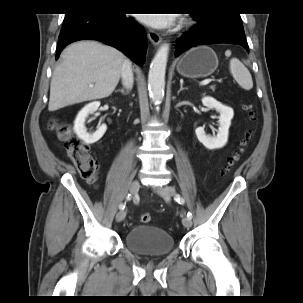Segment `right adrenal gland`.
<instances>
[{"label":"right adrenal gland","mask_w":303,"mask_h":303,"mask_svg":"<svg viewBox=\"0 0 303 303\" xmlns=\"http://www.w3.org/2000/svg\"><path fill=\"white\" fill-rule=\"evenodd\" d=\"M131 88H128L126 91L124 89H118L116 91H120L122 94L126 95L130 92Z\"/></svg>","instance_id":"obj_1"}]
</instances>
